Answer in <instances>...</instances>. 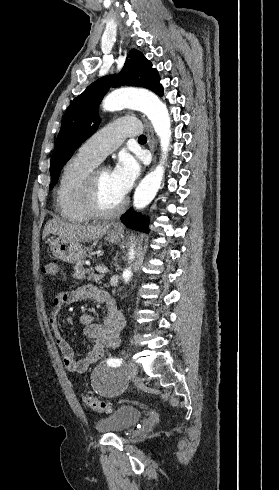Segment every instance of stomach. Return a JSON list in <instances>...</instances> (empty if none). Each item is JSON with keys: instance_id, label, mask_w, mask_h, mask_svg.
Here are the masks:
<instances>
[{"instance_id": "1", "label": "stomach", "mask_w": 279, "mask_h": 490, "mask_svg": "<svg viewBox=\"0 0 279 490\" xmlns=\"http://www.w3.org/2000/svg\"><path fill=\"white\" fill-rule=\"evenodd\" d=\"M115 226V224H113ZM119 234L121 232H114L110 230L107 232V240L111 244H116L119 240ZM49 248L57 258V260H62V262H68V264H75V262H80L86 258V252L83 250L81 244L78 242H72V240H63V238H54L50 240Z\"/></svg>"}]
</instances>
